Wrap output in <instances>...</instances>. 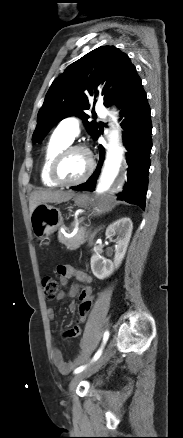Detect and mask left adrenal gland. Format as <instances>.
Instances as JSON below:
<instances>
[{
	"instance_id": "a2214340",
	"label": "left adrenal gland",
	"mask_w": 183,
	"mask_h": 438,
	"mask_svg": "<svg viewBox=\"0 0 183 438\" xmlns=\"http://www.w3.org/2000/svg\"><path fill=\"white\" fill-rule=\"evenodd\" d=\"M102 227H99L98 229H96L95 231H94V233H93V238H94V236L96 235V233L101 229Z\"/></svg>"
}]
</instances>
